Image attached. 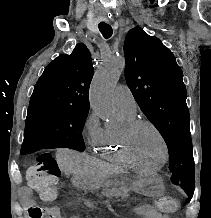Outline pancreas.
Instances as JSON below:
<instances>
[{
  "mask_svg": "<svg viewBox=\"0 0 211 218\" xmlns=\"http://www.w3.org/2000/svg\"><path fill=\"white\" fill-rule=\"evenodd\" d=\"M129 192L130 190H128V188H118V191L117 190H103L102 194L103 195H117L118 194V196H124V198H128Z\"/></svg>",
  "mask_w": 211,
  "mask_h": 218,
  "instance_id": "cf45deb5",
  "label": "pancreas"
}]
</instances>
